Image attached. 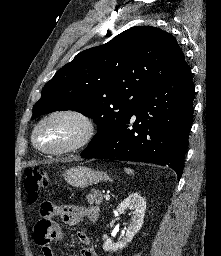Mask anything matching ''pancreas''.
I'll list each match as a JSON object with an SVG mask.
<instances>
[{
    "label": "pancreas",
    "instance_id": "obj_1",
    "mask_svg": "<svg viewBox=\"0 0 221 256\" xmlns=\"http://www.w3.org/2000/svg\"><path fill=\"white\" fill-rule=\"evenodd\" d=\"M87 201L90 205L92 204H101L102 201H103V197H102V194L97 191V190H92L88 195H87Z\"/></svg>",
    "mask_w": 221,
    "mask_h": 256
}]
</instances>
